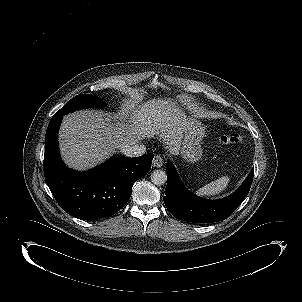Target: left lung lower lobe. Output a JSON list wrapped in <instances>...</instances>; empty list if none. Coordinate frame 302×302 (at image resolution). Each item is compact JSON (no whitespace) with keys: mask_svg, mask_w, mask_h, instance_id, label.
I'll return each mask as SVG.
<instances>
[{"mask_svg":"<svg viewBox=\"0 0 302 302\" xmlns=\"http://www.w3.org/2000/svg\"><path fill=\"white\" fill-rule=\"evenodd\" d=\"M167 186L163 200L171 214L183 221L210 223L225 220L247 196L254 175L250 172L241 187L232 195L220 200H206L187 190L170 161L166 166Z\"/></svg>","mask_w":302,"mask_h":302,"instance_id":"left-lung-lower-lobe-1","label":"left lung lower lobe"}]
</instances>
